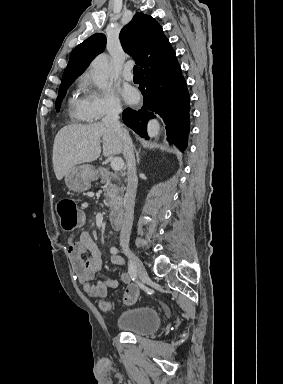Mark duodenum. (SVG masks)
Returning a JSON list of instances; mask_svg holds the SVG:
<instances>
[{"label":"duodenum","mask_w":283,"mask_h":384,"mask_svg":"<svg viewBox=\"0 0 283 384\" xmlns=\"http://www.w3.org/2000/svg\"><path fill=\"white\" fill-rule=\"evenodd\" d=\"M100 171L104 174L107 173L105 169H101ZM110 221L115 229H121L124 223L123 210L119 209L110 213Z\"/></svg>","instance_id":"duodenum-1"}]
</instances>
